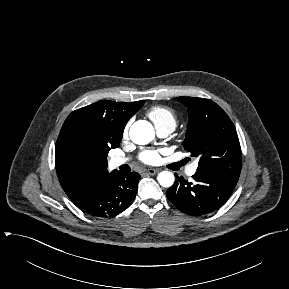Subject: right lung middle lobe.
I'll return each mask as SVG.
<instances>
[{"label": "right lung middle lobe", "instance_id": "1", "mask_svg": "<svg viewBox=\"0 0 289 289\" xmlns=\"http://www.w3.org/2000/svg\"><path fill=\"white\" fill-rule=\"evenodd\" d=\"M68 152L82 163H90L96 158L107 157L109 148L101 147L94 140L78 130L71 131L66 140ZM119 144L114 146L117 148Z\"/></svg>", "mask_w": 289, "mask_h": 289}]
</instances>
